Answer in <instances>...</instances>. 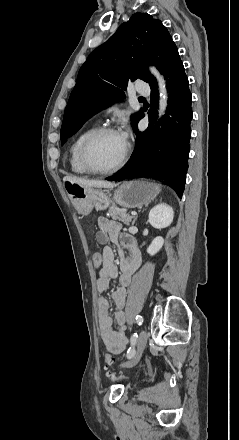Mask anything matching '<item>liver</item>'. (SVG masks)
Returning <instances> with one entry per match:
<instances>
[{
	"mask_svg": "<svg viewBox=\"0 0 239 440\" xmlns=\"http://www.w3.org/2000/svg\"><path fill=\"white\" fill-rule=\"evenodd\" d=\"M63 182H71V184H78L81 188H116L117 184L112 182H103V180H83V178H71L65 176Z\"/></svg>",
	"mask_w": 239,
	"mask_h": 440,
	"instance_id": "liver-1",
	"label": "liver"
}]
</instances>
